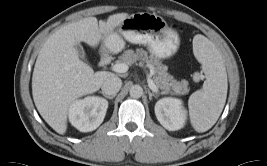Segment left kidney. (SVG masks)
<instances>
[{
  "mask_svg": "<svg viewBox=\"0 0 267 166\" xmlns=\"http://www.w3.org/2000/svg\"><path fill=\"white\" fill-rule=\"evenodd\" d=\"M155 115L160 124L170 131L182 128L186 119L181 100L170 97L157 101Z\"/></svg>",
  "mask_w": 267,
  "mask_h": 166,
  "instance_id": "obj_1",
  "label": "left kidney"
}]
</instances>
